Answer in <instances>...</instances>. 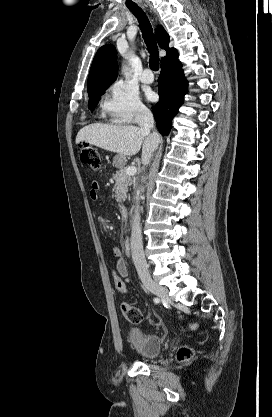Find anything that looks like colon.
Here are the masks:
<instances>
[{"label": "colon", "mask_w": 272, "mask_h": 417, "mask_svg": "<svg viewBox=\"0 0 272 417\" xmlns=\"http://www.w3.org/2000/svg\"><path fill=\"white\" fill-rule=\"evenodd\" d=\"M80 159L84 164L92 167L93 169L99 168L101 164L99 151L94 146L87 143H84L80 146ZM113 282L115 288L120 293H126V283L118 274L113 276ZM122 313L124 318L131 323H139L143 318L141 311L129 303L122 304ZM191 328H195V326L192 325ZM192 355L193 352L191 349L187 347H181L178 351V360L181 362H187L191 359Z\"/></svg>", "instance_id": "obj_1"}]
</instances>
